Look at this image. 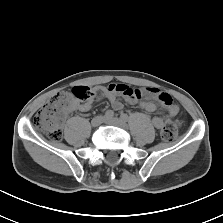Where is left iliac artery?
Returning a JSON list of instances; mask_svg holds the SVG:
<instances>
[{"mask_svg": "<svg viewBox=\"0 0 223 223\" xmlns=\"http://www.w3.org/2000/svg\"><path fill=\"white\" fill-rule=\"evenodd\" d=\"M121 119L127 121L128 120V116L126 114H122L121 116Z\"/></svg>", "mask_w": 223, "mask_h": 223, "instance_id": "obj_1", "label": "left iliac artery"}]
</instances>
